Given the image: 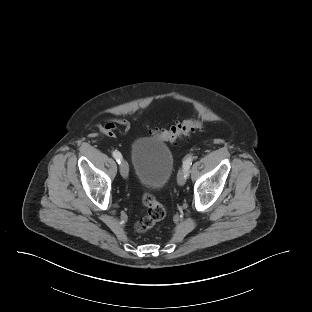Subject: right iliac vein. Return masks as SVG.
Listing matches in <instances>:
<instances>
[{
	"label": "right iliac vein",
	"instance_id": "1",
	"mask_svg": "<svg viewBox=\"0 0 312 312\" xmlns=\"http://www.w3.org/2000/svg\"><path fill=\"white\" fill-rule=\"evenodd\" d=\"M119 168H120V173L121 175L124 177V178H127L128 177V173H129V167H128V164L126 161H121L120 162V165H119Z\"/></svg>",
	"mask_w": 312,
	"mask_h": 312
}]
</instances>
